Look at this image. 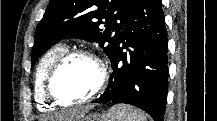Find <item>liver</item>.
I'll list each match as a JSON object with an SVG mask.
<instances>
[{
  "mask_svg": "<svg viewBox=\"0 0 217 121\" xmlns=\"http://www.w3.org/2000/svg\"><path fill=\"white\" fill-rule=\"evenodd\" d=\"M57 119L59 121H71L69 113H64V114L58 115Z\"/></svg>",
  "mask_w": 217,
  "mask_h": 121,
  "instance_id": "obj_1",
  "label": "liver"
}]
</instances>
